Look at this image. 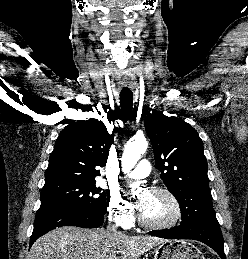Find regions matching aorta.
Listing matches in <instances>:
<instances>
[{"label": "aorta", "instance_id": "aorta-1", "mask_svg": "<svg viewBox=\"0 0 248 259\" xmlns=\"http://www.w3.org/2000/svg\"><path fill=\"white\" fill-rule=\"evenodd\" d=\"M148 142L144 136H137L131 139L125 146L122 154V167L125 171L131 170L147 150ZM139 183L130 184L132 190L138 188Z\"/></svg>", "mask_w": 248, "mask_h": 259}]
</instances>
